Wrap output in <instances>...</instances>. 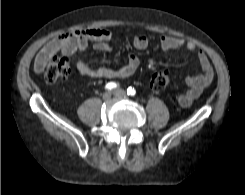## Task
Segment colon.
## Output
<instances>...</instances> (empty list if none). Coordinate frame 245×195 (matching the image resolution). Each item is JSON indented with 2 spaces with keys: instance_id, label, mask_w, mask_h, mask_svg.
I'll use <instances>...</instances> for the list:
<instances>
[{
  "instance_id": "colon-1",
  "label": "colon",
  "mask_w": 245,
  "mask_h": 195,
  "mask_svg": "<svg viewBox=\"0 0 245 195\" xmlns=\"http://www.w3.org/2000/svg\"><path fill=\"white\" fill-rule=\"evenodd\" d=\"M70 73V61L67 56L52 55L43 72L44 78L48 82L65 79ZM170 75L168 71H157L150 77V87L152 90L162 91L169 83Z\"/></svg>"
}]
</instances>
